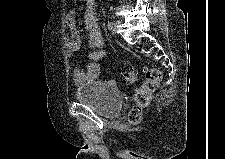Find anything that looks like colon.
Here are the masks:
<instances>
[{"instance_id":"1","label":"colon","mask_w":225,"mask_h":159,"mask_svg":"<svg viewBox=\"0 0 225 159\" xmlns=\"http://www.w3.org/2000/svg\"><path fill=\"white\" fill-rule=\"evenodd\" d=\"M143 72L145 74V80L135 90L134 107L129 113V119L133 122L138 121L141 118L143 110L150 104L152 94L158 88L162 78L160 69L156 67H145ZM137 78L138 71L135 68L129 69L126 73V81L128 83L136 82Z\"/></svg>"}]
</instances>
